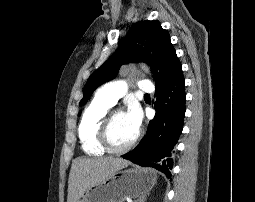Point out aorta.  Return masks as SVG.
Instances as JSON below:
<instances>
[{"instance_id":"762f6f07","label":"aorta","mask_w":255,"mask_h":202,"mask_svg":"<svg viewBox=\"0 0 255 202\" xmlns=\"http://www.w3.org/2000/svg\"><path fill=\"white\" fill-rule=\"evenodd\" d=\"M140 65L143 70H145L146 72H150V68L146 64L141 63Z\"/></svg>"}]
</instances>
